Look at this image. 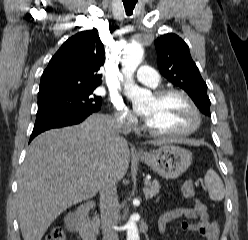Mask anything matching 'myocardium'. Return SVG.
Segmentation results:
<instances>
[{"label":"myocardium","instance_id":"1","mask_svg":"<svg viewBox=\"0 0 248 240\" xmlns=\"http://www.w3.org/2000/svg\"><path fill=\"white\" fill-rule=\"evenodd\" d=\"M169 95H179L185 99V101L188 103L194 115L193 125H191L188 129L179 131V132H161V131L153 130L147 124L146 131L149 134L156 136V137H160V138H182V137L189 136L195 133L197 130H199L202 124V115H201V112L198 106L196 105L194 100L191 98V96L186 91L179 89V88H173V87L161 88L154 92V96L157 99H162Z\"/></svg>","mask_w":248,"mask_h":240}]
</instances>
